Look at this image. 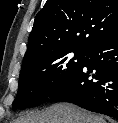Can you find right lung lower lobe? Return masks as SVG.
<instances>
[{
	"instance_id": "obj_1",
	"label": "right lung lower lobe",
	"mask_w": 118,
	"mask_h": 123,
	"mask_svg": "<svg viewBox=\"0 0 118 123\" xmlns=\"http://www.w3.org/2000/svg\"><path fill=\"white\" fill-rule=\"evenodd\" d=\"M48 98L118 119V36L87 51L77 73Z\"/></svg>"
}]
</instances>
